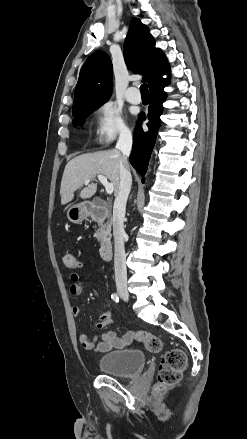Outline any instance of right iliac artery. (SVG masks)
<instances>
[{
	"mask_svg": "<svg viewBox=\"0 0 247 439\" xmlns=\"http://www.w3.org/2000/svg\"><path fill=\"white\" fill-rule=\"evenodd\" d=\"M111 298H112L115 302H118V301H119V296H118L117 293H113V294L111 295Z\"/></svg>",
	"mask_w": 247,
	"mask_h": 439,
	"instance_id": "82829eb1",
	"label": "right iliac artery"
}]
</instances>
